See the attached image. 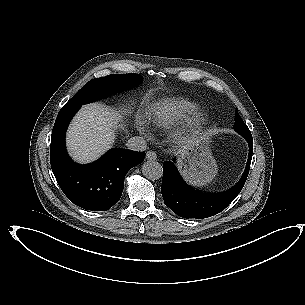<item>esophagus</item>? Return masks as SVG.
I'll return each mask as SVG.
<instances>
[{"label":"esophagus","instance_id":"obj_1","mask_svg":"<svg viewBox=\"0 0 305 305\" xmlns=\"http://www.w3.org/2000/svg\"><path fill=\"white\" fill-rule=\"evenodd\" d=\"M156 158H157V155L154 151H147L146 152V159L147 160L154 161V160H156Z\"/></svg>","mask_w":305,"mask_h":305}]
</instances>
